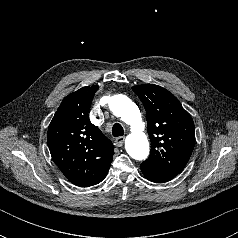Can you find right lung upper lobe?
<instances>
[{
    "mask_svg": "<svg viewBox=\"0 0 238 238\" xmlns=\"http://www.w3.org/2000/svg\"><path fill=\"white\" fill-rule=\"evenodd\" d=\"M98 86L83 87L65 97L47 133L51 156L74 185L100 182L113 160L114 145L88 117Z\"/></svg>",
    "mask_w": 238,
    "mask_h": 238,
    "instance_id": "obj_1",
    "label": "right lung upper lobe"
}]
</instances>
